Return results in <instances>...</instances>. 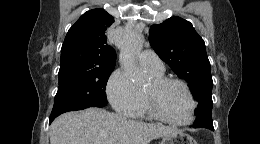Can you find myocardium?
Here are the masks:
<instances>
[{
    "label": "myocardium",
    "instance_id": "obj_1",
    "mask_svg": "<svg viewBox=\"0 0 260 144\" xmlns=\"http://www.w3.org/2000/svg\"><path fill=\"white\" fill-rule=\"evenodd\" d=\"M169 85H179L184 89L191 103L190 117L186 121H174L166 117L160 110L157 99L160 92ZM145 101L149 114L155 119L173 126H187L194 121L197 103L189 86L182 80L169 77L153 78L150 86L144 90Z\"/></svg>",
    "mask_w": 260,
    "mask_h": 144
}]
</instances>
